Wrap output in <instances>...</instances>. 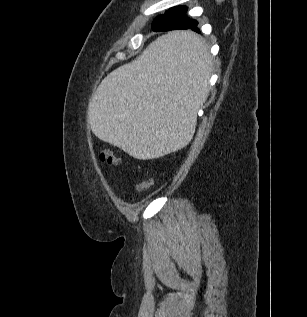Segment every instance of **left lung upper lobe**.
Wrapping results in <instances>:
<instances>
[{
  "label": "left lung upper lobe",
  "mask_w": 307,
  "mask_h": 317,
  "mask_svg": "<svg viewBox=\"0 0 307 317\" xmlns=\"http://www.w3.org/2000/svg\"><path fill=\"white\" fill-rule=\"evenodd\" d=\"M186 6H175L170 8L164 15L159 16L161 20L170 22L171 26L177 27L178 25L188 24L191 19L186 15Z\"/></svg>",
  "instance_id": "obj_1"
}]
</instances>
